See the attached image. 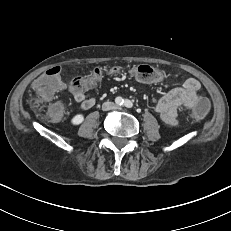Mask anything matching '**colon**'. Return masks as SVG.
I'll list each match as a JSON object with an SVG mask.
<instances>
[{"label":"colon","instance_id":"colon-1","mask_svg":"<svg viewBox=\"0 0 231 231\" xmlns=\"http://www.w3.org/2000/svg\"><path fill=\"white\" fill-rule=\"evenodd\" d=\"M121 71L122 69L118 66L109 68L96 67L89 75L75 78L71 85L77 91H85L94 87L105 75L118 74ZM128 72L140 84L162 86L166 82V77L161 70L148 65L132 66L128 68ZM60 73V66L50 68L47 73L34 80V91L40 94L41 97H52L62 86ZM64 111L63 104L60 101H56L49 106L48 115L50 118L57 120L63 116ZM211 111V101L205 97H200L192 107V116L195 120L202 121L208 118Z\"/></svg>","mask_w":231,"mask_h":231}]
</instances>
